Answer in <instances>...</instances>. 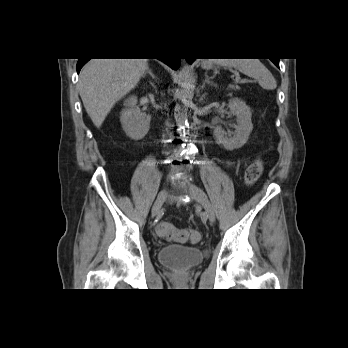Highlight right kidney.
I'll return each instance as SVG.
<instances>
[{"instance_id": "1", "label": "right kidney", "mask_w": 348, "mask_h": 348, "mask_svg": "<svg viewBox=\"0 0 348 348\" xmlns=\"http://www.w3.org/2000/svg\"><path fill=\"white\" fill-rule=\"evenodd\" d=\"M137 97L130 96L125 101L126 108L120 116V122L126 135L133 140H141L148 133L151 117L136 108Z\"/></svg>"}]
</instances>
